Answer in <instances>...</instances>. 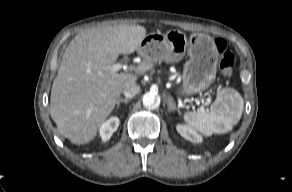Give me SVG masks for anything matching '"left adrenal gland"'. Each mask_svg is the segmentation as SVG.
I'll use <instances>...</instances> for the list:
<instances>
[{"mask_svg":"<svg viewBox=\"0 0 292 192\" xmlns=\"http://www.w3.org/2000/svg\"><path fill=\"white\" fill-rule=\"evenodd\" d=\"M168 110L169 112H172L176 110L180 114V109L176 106L175 102L173 101V98L171 96H168L166 99Z\"/></svg>","mask_w":292,"mask_h":192,"instance_id":"1","label":"left adrenal gland"}]
</instances>
